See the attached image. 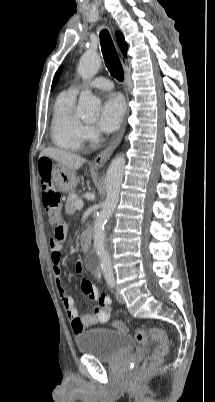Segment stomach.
Segmentation results:
<instances>
[{
  "label": "stomach",
  "instance_id": "stomach-1",
  "mask_svg": "<svg viewBox=\"0 0 215 402\" xmlns=\"http://www.w3.org/2000/svg\"><path fill=\"white\" fill-rule=\"evenodd\" d=\"M50 175L53 183L62 192L65 193L71 192L76 187L75 171L70 170L61 163L53 165Z\"/></svg>",
  "mask_w": 215,
  "mask_h": 402
}]
</instances>
